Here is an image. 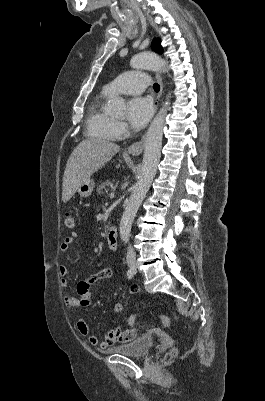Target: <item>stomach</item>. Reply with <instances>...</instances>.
Listing matches in <instances>:
<instances>
[{
	"label": "stomach",
	"mask_w": 265,
	"mask_h": 401,
	"mask_svg": "<svg viewBox=\"0 0 265 401\" xmlns=\"http://www.w3.org/2000/svg\"><path fill=\"white\" fill-rule=\"evenodd\" d=\"M94 180L93 178H86V180H83V182H81V184H79L77 190L80 194V196H82V198H87V196H90L93 188H94Z\"/></svg>",
	"instance_id": "1"
}]
</instances>
